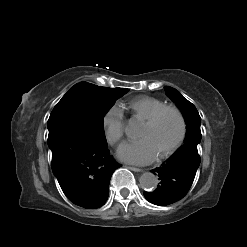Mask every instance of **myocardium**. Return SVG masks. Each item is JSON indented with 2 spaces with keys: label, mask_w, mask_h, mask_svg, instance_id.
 Returning a JSON list of instances; mask_svg holds the SVG:
<instances>
[{
  "label": "myocardium",
  "mask_w": 247,
  "mask_h": 247,
  "mask_svg": "<svg viewBox=\"0 0 247 247\" xmlns=\"http://www.w3.org/2000/svg\"><path fill=\"white\" fill-rule=\"evenodd\" d=\"M169 112L173 113L177 117L178 122H179V132H178L176 139L173 141V143L168 148H166L163 152L158 154V157L160 159H164V158H167L168 156H170L182 144V142L186 136V131H187V125H186L185 117H184L182 111L178 107L173 106V105H166V106L160 108L159 110H157L152 116H150L148 119H146L143 123L144 125H146L148 127H152L160 120V118L164 114L169 113Z\"/></svg>",
  "instance_id": "obj_1"
}]
</instances>
